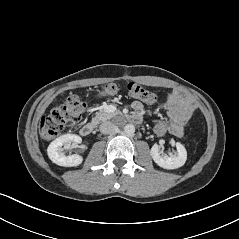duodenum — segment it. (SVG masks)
<instances>
[{"label":"duodenum","mask_w":239,"mask_h":239,"mask_svg":"<svg viewBox=\"0 0 239 239\" xmlns=\"http://www.w3.org/2000/svg\"><path fill=\"white\" fill-rule=\"evenodd\" d=\"M132 119L134 121H139L140 120L139 118H135V117H133ZM94 128H95V123L94 122H87V123H85L81 126L80 133L83 136H88L93 132Z\"/></svg>","instance_id":"410a0bca"}]
</instances>
